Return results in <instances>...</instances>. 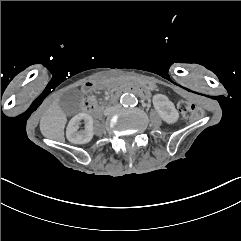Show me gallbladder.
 Wrapping results in <instances>:
<instances>
[{
  "mask_svg": "<svg viewBox=\"0 0 241 241\" xmlns=\"http://www.w3.org/2000/svg\"><path fill=\"white\" fill-rule=\"evenodd\" d=\"M81 92L77 89L69 90L60 97L59 106L64 116L72 117L79 113L81 108Z\"/></svg>",
  "mask_w": 241,
  "mask_h": 241,
  "instance_id": "bac80fb5",
  "label": "gallbladder"
}]
</instances>
